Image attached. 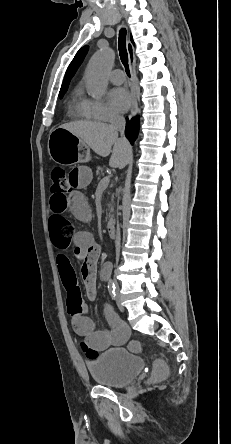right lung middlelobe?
Wrapping results in <instances>:
<instances>
[{
  "mask_svg": "<svg viewBox=\"0 0 231 444\" xmlns=\"http://www.w3.org/2000/svg\"><path fill=\"white\" fill-rule=\"evenodd\" d=\"M67 89H60L59 97L62 98Z\"/></svg>",
  "mask_w": 231,
  "mask_h": 444,
  "instance_id": "dd1d6c3e",
  "label": "right lung middle lobe"
}]
</instances>
